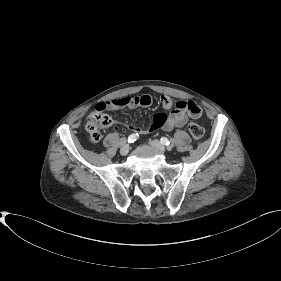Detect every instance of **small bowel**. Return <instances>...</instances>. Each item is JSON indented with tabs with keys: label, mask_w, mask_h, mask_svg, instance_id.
<instances>
[{
	"label": "small bowel",
	"mask_w": 281,
	"mask_h": 281,
	"mask_svg": "<svg viewBox=\"0 0 281 281\" xmlns=\"http://www.w3.org/2000/svg\"><path fill=\"white\" fill-rule=\"evenodd\" d=\"M161 106L169 112H159L153 116L152 123L148 127H141L135 124L127 125L128 129L139 134L163 129L172 131L176 128L184 127L190 118H196L201 114L200 107L193 101L180 100L173 103L167 95H162L159 99ZM152 104V97L149 94L140 96H125L115 98L106 102L98 103L95 108L98 110H121L134 109L138 107H148ZM197 109L194 112L191 109Z\"/></svg>",
	"instance_id": "1"
}]
</instances>
